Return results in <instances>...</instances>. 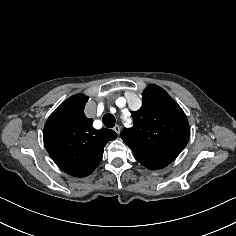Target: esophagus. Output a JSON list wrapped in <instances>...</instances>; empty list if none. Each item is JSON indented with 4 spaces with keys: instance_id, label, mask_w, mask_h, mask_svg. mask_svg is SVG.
I'll list each match as a JSON object with an SVG mask.
<instances>
[{
    "instance_id": "1",
    "label": "esophagus",
    "mask_w": 236,
    "mask_h": 236,
    "mask_svg": "<svg viewBox=\"0 0 236 236\" xmlns=\"http://www.w3.org/2000/svg\"><path fill=\"white\" fill-rule=\"evenodd\" d=\"M113 129H114V131H115L117 134L120 133V130H121V129H120V126H119V125H115Z\"/></svg>"
}]
</instances>
